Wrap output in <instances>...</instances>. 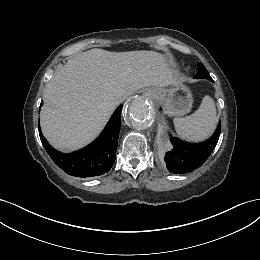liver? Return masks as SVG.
<instances>
[{"instance_id": "obj_1", "label": "liver", "mask_w": 260, "mask_h": 260, "mask_svg": "<svg viewBox=\"0 0 260 260\" xmlns=\"http://www.w3.org/2000/svg\"><path fill=\"white\" fill-rule=\"evenodd\" d=\"M178 81L165 56L155 51L83 52L69 59L48 83L40 115L42 133L56 149H79L104 128L117 97Z\"/></svg>"}]
</instances>
